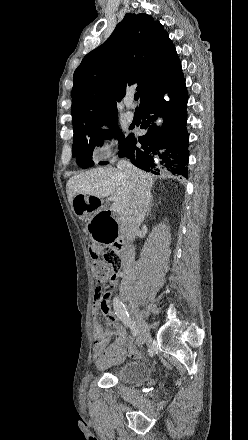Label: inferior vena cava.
Returning a JSON list of instances; mask_svg holds the SVG:
<instances>
[{
  "instance_id": "602c4592",
  "label": "inferior vena cava",
  "mask_w": 248,
  "mask_h": 440,
  "mask_svg": "<svg viewBox=\"0 0 248 440\" xmlns=\"http://www.w3.org/2000/svg\"><path fill=\"white\" fill-rule=\"evenodd\" d=\"M119 171L127 175L135 185L134 195L128 206L125 208L121 218L120 226L128 243L133 242L143 222L150 204V187L142 172L129 161L120 160L117 164ZM134 258L133 249H127L122 257L124 269V280L127 281L131 275V262Z\"/></svg>"
}]
</instances>
